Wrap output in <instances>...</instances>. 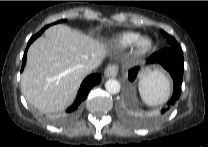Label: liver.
<instances>
[{
  "label": "liver",
  "mask_w": 208,
  "mask_h": 147,
  "mask_svg": "<svg viewBox=\"0 0 208 147\" xmlns=\"http://www.w3.org/2000/svg\"><path fill=\"white\" fill-rule=\"evenodd\" d=\"M107 53L106 45L98 40L66 25H53L28 49L21 90L38 110L62 111L72 103L86 77L85 66L98 67ZM153 73L147 68L141 75Z\"/></svg>",
  "instance_id": "1"
}]
</instances>
